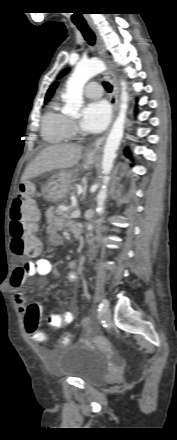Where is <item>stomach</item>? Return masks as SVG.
I'll return each mask as SVG.
<instances>
[{
    "label": "stomach",
    "instance_id": "stomach-1",
    "mask_svg": "<svg viewBox=\"0 0 177 440\" xmlns=\"http://www.w3.org/2000/svg\"><path fill=\"white\" fill-rule=\"evenodd\" d=\"M97 161V157L86 155L83 159V168H88ZM75 180L73 171L61 170L53 175L42 187V195L46 201L58 202L68 193Z\"/></svg>",
    "mask_w": 177,
    "mask_h": 440
}]
</instances>
